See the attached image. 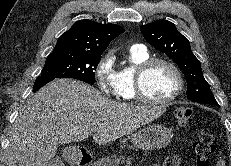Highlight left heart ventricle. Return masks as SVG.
<instances>
[{"mask_svg": "<svg viewBox=\"0 0 231 166\" xmlns=\"http://www.w3.org/2000/svg\"><path fill=\"white\" fill-rule=\"evenodd\" d=\"M173 71L164 64L154 65L144 78V90L153 99H166L176 89Z\"/></svg>", "mask_w": 231, "mask_h": 166, "instance_id": "left-heart-ventricle-1", "label": "left heart ventricle"}]
</instances>
